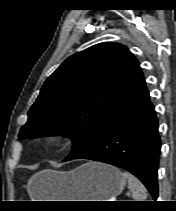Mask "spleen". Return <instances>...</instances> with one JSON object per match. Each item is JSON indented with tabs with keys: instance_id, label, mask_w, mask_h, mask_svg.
I'll return each mask as SVG.
<instances>
[{
	"instance_id": "3e777b00",
	"label": "spleen",
	"mask_w": 176,
	"mask_h": 211,
	"mask_svg": "<svg viewBox=\"0 0 176 211\" xmlns=\"http://www.w3.org/2000/svg\"><path fill=\"white\" fill-rule=\"evenodd\" d=\"M123 176L128 180V188L132 192V198L134 201H146L147 192L144 185L129 172L125 171Z\"/></svg>"
}]
</instances>
